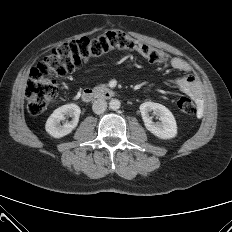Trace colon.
<instances>
[{
	"instance_id": "obj_1",
	"label": "colon",
	"mask_w": 232,
	"mask_h": 232,
	"mask_svg": "<svg viewBox=\"0 0 232 232\" xmlns=\"http://www.w3.org/2000/svg\"><path fill=\"white\" fill-rule=\"evenodd\" d=\"M116 50L140 53L152 63L163 64L169 59L163 50L139 42L122 31H108L95 38L84 37L63 43L30 71L25 88L29 113L39 115L55 101L58 95L55 78L71 74L91 59ZM177 106L186 115L196 112L194 102L186 96L179 98Z\"/></svg>"
}]
</instances>
